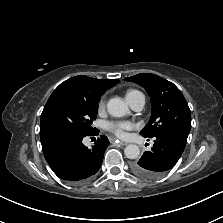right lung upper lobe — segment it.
Here are the masks:
<instances>
[{
  "label": "right lung upper lobe",
  "instance_id": "1",
  "mask_svg": "<svg viewBox=\"0 0 223 223\" xmlns=\"http://www.w3.org/2000/svg\"><path fill=\"white\" fill-rule=\"evenodd\" d=\"M119 82L117 79H95L92 77L80 75L70 78L61 83L51 94L54 96L63 92H75L84 95H89L95 98L101 97L105 91Z\"/></svg>",
  "mask_w": 223,
  "mask_h": 223
}]
</instances>
